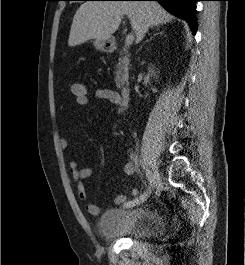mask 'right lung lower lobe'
<instances>
[{
    "instance_id": "right-lung-lower-lobe-1",
    "label": "right lung lower lobe",
    "mask_w": 245,
    "mask_h": 265,
    "mask_svg": "<svg viewBox=\"0 0 245 265\" xmlns=\"http://www.w3.org/2000/svg\"><path fill=\"white\" fill-rule=\"evenodd\" d=\"M115 1H158L170 13L186 20L189 23L193 34L196 33L195 1L198 0H115Z\"/></svg>"
}]
</instances>
